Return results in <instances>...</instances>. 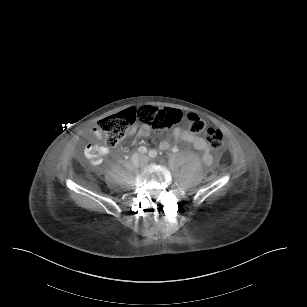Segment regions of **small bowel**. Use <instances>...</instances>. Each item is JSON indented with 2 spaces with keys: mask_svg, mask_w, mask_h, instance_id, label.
Masks as SVG:
<instances>
[{
  "mask_svg": "<svg viewBox=\"0 0 307 307\" xmlns=\"http://www.w3.org/2000/svg\"><path fill=\"white\" fill-rule=\"evenodd\" d=\"M135 129H132L130 133H134ZM91 133L96 137H101V132L99 129L94 128ZM149 135V129L147 127H142L138 130L137 136L139 138L146 137ZM173 137L177 141L187 142L192 144L197 150L202 152L203 161L205 164L210 165L212 162V156L210 153V148L207 142L200 136L185 130L183 128H175L172 131ZM169 142L162 141L159 145L161 150H166L169 148ZM109 148L104 145L99 144H89L84 149L85 158L93 165H99L102 163L103 158L109 154Z\"/></svg>",
  "mask_w": 307,
  "mask_h": 307,
  "instance_id": "c3829d8e",
  "label": "small bowel"
}]
</instances>
